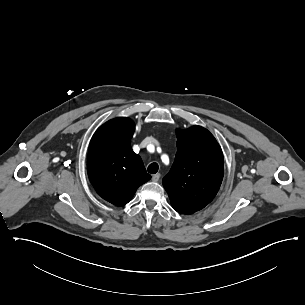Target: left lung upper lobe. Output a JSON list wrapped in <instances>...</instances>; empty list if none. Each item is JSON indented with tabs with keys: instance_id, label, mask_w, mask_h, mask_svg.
Masks as SVG:
<instances>
[{
	"instance_id": "1",
	"label": "left lung upper lobe",
	"mask_w": 305,
	"mask_h": 305,
	"mask_svg": "<svg viewBox=\"0 0 305 305\" xmlns=\"http://www.w3.org/2000/svg\"><path fill=\"white\" fill-rule=\"evenodd\" d=\"M176 133L178 151L163 186L177 212L192 214L217 194L224 174L223 153L214 136L201 126Z\"/></svg>"
}]
</instances>
